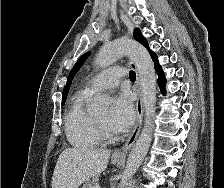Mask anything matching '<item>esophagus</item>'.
Returning a JSON list of instances; mask_svg holds the SVG:
<instances>
[{
  "mask_svg": "<svg viewBox=\"0 0 224 188\" xmlns=\"http://www.w3.org/2000/svg\"><path fill=\"white\" fill-rule=\"evenodd\" d=\"M128 63L130 64V66L132 68H134V70L136 71V82H135V90L137 92L138 98H137V102H136V124L128 138V140L126 141V143L119 149H117L116 151H114L113 153V157H122L125 158L127 153L130 151V149L132 148V146L134 145L141 127H142V122H143V100H142V93H141V89H140V83H139V76H138V72H137V67L135 65V63L131 60H128Z\"/></svg>",
  "mask_w": 224,
  "mask_h": 188,
  "instance_id": "obj_1",
  "label": "esophagus"
}]
</instances>
